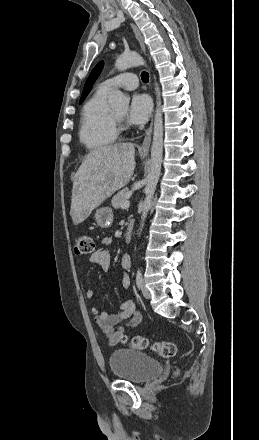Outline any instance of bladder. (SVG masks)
Here are the masks:
<instances>
[{
    "label": "bladder",
    "instance_id": "1",
    "mask_svg": "<svg viewBox=\"0 0 259 440\" xmlns=\"http://www.w3.org/2000/svg\"><path fill=\"white\" fill-rule=\"evenodd\" d=\"M109 364L115 377L137 384L157 377L163 369L161 362L137 349L114 351Z\"/></svg>",
    "mask_w": 259,
    "mask_h": 440
}]
</instances>
